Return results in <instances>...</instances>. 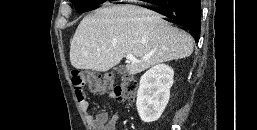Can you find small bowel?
<instances>
[{
    "mask_svg": "<svg viewBox=\"0 0 257 130\" xmlns=\"http://www.w3.org/2000/svg\"><path fill=\"white\" fill-rule=\"evenodd\" d=\"M78 102L91 130H116L119 120V114L117 112L111 117H109L106 113H101L94 117L89 113V102L85 97L78 99Z\"/></svg>",
    "mask_w": 257,
    "mask_h": 130,
    "instance_id": "c3829d8e",
    "label": "small bowel"
}]
</instances>
